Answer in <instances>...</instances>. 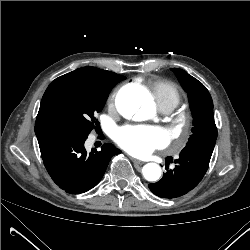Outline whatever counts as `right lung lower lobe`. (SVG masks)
Returning a JSON list of instances; mask_svg holds the SVG:
<instances>
[{
  "instance_id": "obj_1",
  "label": "right lung lower lobe",
  "mask_w": 250,
  "mask_h": 250,
  "mask_svg": "<svg viewBox=\"0 0 250 250\" xmlns=\"http://www.w3.org/2000/svg\"><path fill=\"white\" fill-rule=\"evenodd\" d=\"M88 134L78 131H44L37 134L44 165L52 180L67 193L80 194L96 186L110 159L120 153L112 144L87 153Z\"/></svg>"
}]
</instances>
